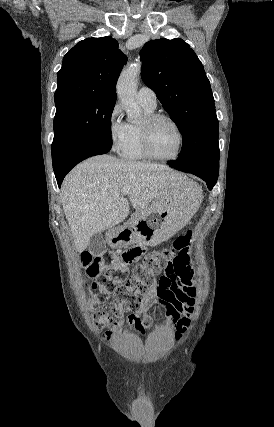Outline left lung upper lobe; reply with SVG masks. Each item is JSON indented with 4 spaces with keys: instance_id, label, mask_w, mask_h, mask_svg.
Here are the masks:
<instances>
[{
    "instance_id": "1",
    "label": "left lung upper lobe",
    "mask_w": 274,
    "mask_h": 427,
    "mask_svg": "<svg viewBox=\"0 0 274 427\" xmlns=\"http://www.w3.org/2000/svg\"><path fill=\"white\" fill-rule=\"evenodd\" d=\"M142 79L159 98L183 136L178 161L219 164V125L203 65L179 38L157 39L142 48Z\"/></svg>"
}]
</instances>
